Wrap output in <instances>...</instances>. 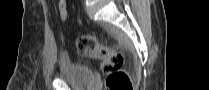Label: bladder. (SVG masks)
Returning a JSON list of instances; mask_svg holds the SVG:
<instances>
[{"label":"bladder","instance_id":"31cf9c89","mask_svg":"<svg viewBox=\"0 0 209 90\" xmlns=\"http://www.w3.org/2000/svg\"><path fill=\"white\" fill-rule=\"evenodd\" d=\"M58 64L59 77L71 86L81 90L96 87L93 72L87 65L72 61L65 55L60 56Z\"/></svg>","mask_w":209,"mask_h":90}]
</instances>
